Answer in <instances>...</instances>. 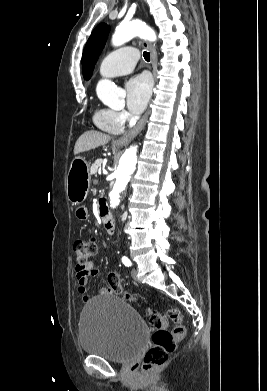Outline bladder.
<instances>
[{"label": "bladder", "mask_w": 267, "mask_h": 391, "mask_svg": "<svg viewBox=\"0 0 267 391\" xmlns=\"http://www.w3.org/2000/svg\"><path fill=\"white\" fill-rule=\"evenodd\" d=\"M146 340L139 314L116 295L96 298L82 311L79 341L86 354L126 363L139 355Z\"/></svg>", "instance_id": "1"}]
</instances>
